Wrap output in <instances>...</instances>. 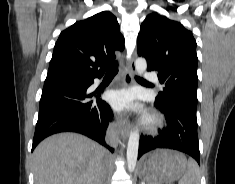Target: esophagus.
<instances>
[{
	"label": "esophagus",
	"mask_w": 235,
	"mask_h": 184,
	"mask_svg": "<svg viewBox=\"0 0 235 184\" xmlns=\"http://www.w3.org/2000/svg\"><path fill=\"white\" fill-rule=\"evenodd\" d=\"M135 71H136L135 60L134 58H132L129 61L127 67L124 68L123 82L126 88L130 87L133 84ZM118 124L121 136L123 138H127L131 127L127 111L123 110L122 113H120L118 117Z\"/></svg>",
	"instance_id": "1"
}]
</instances>
